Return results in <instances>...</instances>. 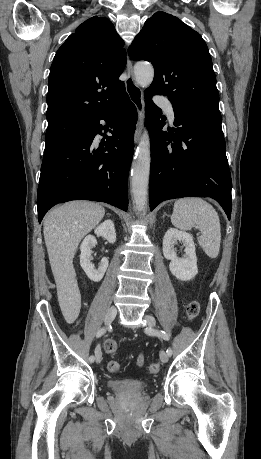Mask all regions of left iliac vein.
Segmentation results:
<instances>
[{
    "mask_svg": "<svg viewBox=\"0 0 261 459\" xmlns=\"http://www.w3.org/2000/svg\"><path fill=\"white\" fill-rule=\"evenodd\" d=\"M145 319H146V323H147L148 326H150V327H154L155 326L156 321H155L154 317H152L150 315H146ZM168 359H169V355L167 354V352L161 351L160 352V360L163 363H166V362H168Z\"/></svg>",
    "mask_w": 261,
    "mask_h": 459,
    "instance_id": "4c4485c4",
    "label": "left iliac vein"
}]
</instances>
